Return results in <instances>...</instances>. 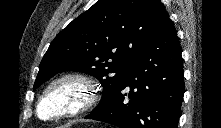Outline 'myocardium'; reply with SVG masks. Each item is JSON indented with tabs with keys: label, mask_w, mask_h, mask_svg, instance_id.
Here are the masks:
<instances>
[{
	"label": "myocardium",
	"mask_w": 221,
	"mask_h": 128,
	"mask_svg": "<svg viewBox=\"0 0 221 128\" xmlns=\"http://www.w3.org/2000/svg\"><path fill=\"white\" fill-rule=\"evenodd\" d=\"M63 88L71 92L70 102L44 114V108L52 103L56 94ZM98 92L95 80L87 73L81 71L64 73L54 78L43 90L36 104V115L45 122L79 115L94 105Z\"/></svg>",
	"instance_id": "myocardium-1"
}]
</instances>
